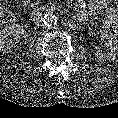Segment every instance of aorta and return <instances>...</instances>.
I'll use <instances>...</instances> for the list:
<instances>
[{
    "label": "aorta",
    "mask_w": 118,
    "mask_h": 118,
    "mask_svg": "<svg viewBox=\"0 0 118 118\" xmlns=\"http://www.w3.org/2000/svg\"><path fill=\"white\" fill-rule=\"evenodd\" d=\"M58 19L54 14H46L43 18V23L50 27V26H54L57 23Z\"/></svg>",
    "instance_id": "obj_1"
}]
</instances>
